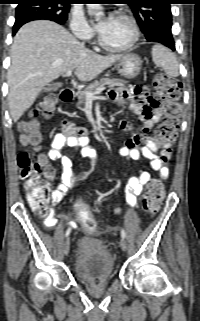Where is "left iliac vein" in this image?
Wrapping results in <instances>:
<instances>
[{"mask_svg": "<svg viewBox=\"0 0 200 321\" xmlns=\"http://www.w3.org/2000/svg\"><path fill=\"white\" fill-rule=\"evenodd\" d=\"M120 247H121L122 250H126V248H127L126 240H124V239L121 240Z\"/></svg>", "mask_w": 200, "mask_h": 321, "instance_id": "1", "label": "left iliac vein"}]
</instances>
